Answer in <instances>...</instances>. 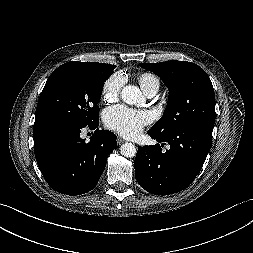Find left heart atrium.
<instances>
[{
	"label": "left heart atrium",
	"mask_w": 253,
	"mask_h": 253,
	"mask_svg": "<svg viewBox=\"0 0 253 253\" xmlns=\"http://www.w3.org/2000/svg\"><path fill=\"white\" fill-rule=\"evenodd\" d=\"M150 122L151 115L148 111L134 110L123 105L109 108L104 113L105 125L128 138L139 135Z\"/></svg>",
	"instance_id": "1"
}]
</instances>
